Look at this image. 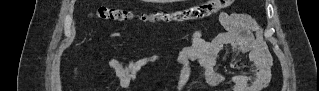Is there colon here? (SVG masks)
<instances>
[{"label": "colon", "mask_w": 319, "mask_h": 91, "mask_svg": "<svg viewBox=\"0 0 319 91\" xmlns=\"http://www.w3.org/2000/svg\"><path fill=\"white\" fill-rule=\"evenodd\" d=\"M229 4L230 1L228 0H211L183 9L161 11L158 13H140L136 15L121 8L102 6L95 12V16L98 19L105 21H127L137 18L146 22H186L210 16L220 9L227 7ZM263 64L265 67L269 68L271 64L270 56L264 58Z\"/></svg>", "instance_id": "5ec220e1"}]
</instances>
